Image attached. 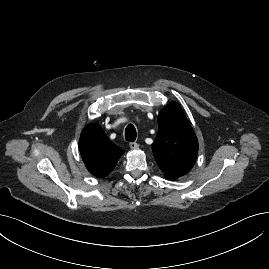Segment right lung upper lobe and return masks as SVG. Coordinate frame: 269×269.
<instances>
[{
    "mask_svg": "<svg viewBox=\"0 0 269 269\" xmlns=\"http://www.w3.org/2000/svg\"><path fill=\"white\" fill-rule=\"evenodd\" d=\"M79 149L85 166L98 178L107 176L116 166L124 150L115 145L97 124L82 131Z\"/></svg>",
    "mask_w": 269,
    "mask_h": 269,
    "instance_id": "obj_1",
    "label": "right lung upper lobe"
}]
</instances>
